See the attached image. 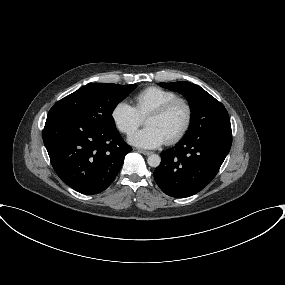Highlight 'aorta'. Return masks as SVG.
Returning a JSON list of instances; mask_svg holds the SVG:
<instances>
[{
	"label": "aorta",
	"instance_id": "aorta-1",
	"mask_svg": "<svg viewBox=\"0 0 285 285\" xmlns=\"http://www.w3.org/2000/svg\"><path fill=\"white\" fill-rule=\"evenodd\" d=\"M148 165L151 167H158L161 162V158L157 154H151L147 159Z\"/></svg>",
	"mask_w": 285,
	"mask_h": 285
}]
</instances>
